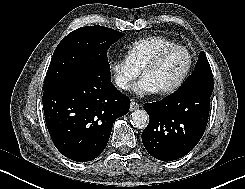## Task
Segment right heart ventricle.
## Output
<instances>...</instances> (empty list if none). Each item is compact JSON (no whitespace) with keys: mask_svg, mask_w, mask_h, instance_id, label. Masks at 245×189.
Wrapping results in <instances>:
<instances>
[{"mask_svg":"<svg viewBox=\"0 0 245 189\" xmlns=\"http://www.w3.org/2000/svg\"><path fill=\"white\" fill-rule=\"evenodd\" d=\"M174 42L164 35H152L138 39L126 47V58L141 71L145 64L163 47Z\"/></svg>","mask_w":245,"mask_h":189,"instance_id":"e07e8e85","label":"right heart ventricle"}]
</instances>
